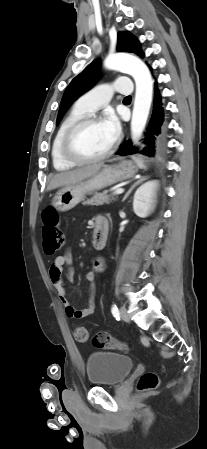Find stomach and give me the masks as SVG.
<instances>
[{"label": "stomach", "mask_w": 207, "mask_h": 449, "mask_svg": "<svg viewBox=\"0 0 207 449\" xmlns=\"http://www.w3.org/2000/svg\"><path fill=\"white\" fill-rule=\"evenodd\" d=\"M137 172L138 167L132 161L122 160L113 165H105L91 177L61 188L55 194L52 205L57 211H69L82 202L87 194L130 179Z\"/></svg>", "instance_id": "obj_1"}]
</instances>
